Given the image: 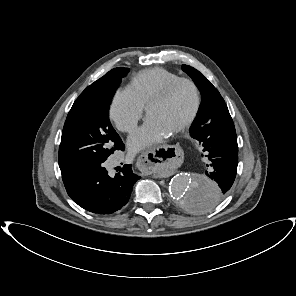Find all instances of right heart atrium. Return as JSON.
Listing matches in <instances>:
<instances>
[{
  "label": "right heart atrium",
  "instance_id": "right-heart-atrium-1",
  "mask_svg": "<svg viewBox=\"0 0 296 296\" xmlns=\"http://www.w3.org/2000/svg\"><path fill=\"white\" fill-rule=\"evenodd\" d=\"M144 107L127 90H118L110 103L109 117L118 130L131 133L142 119Z\"/></svg>",
  "mask_w": 296,
  "mask_h": 296
}]
</instances>
